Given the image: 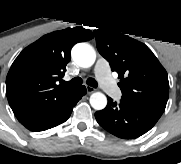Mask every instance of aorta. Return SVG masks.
I'll return each mask as SVG.
<instances>
[{
	"instance_id": "762f6f07",
	"label": "aorta",
	"mask_w": 181,
	"mask_h": 164,
	"mask_svg": "<svg viewBox=\"0 0 181 164\" xmlns=\"http://www.w3.org/2000/svg\"><path fill=\"white\" fill-rule=\"evenodd\" d=\"M72 59L80 67H91L96 60L95 50L86 43H79L72 49ZM90 104L96 110H102L107 105V98L101 92H95L90 96Z\"/></svg>"
}]
</instances>
